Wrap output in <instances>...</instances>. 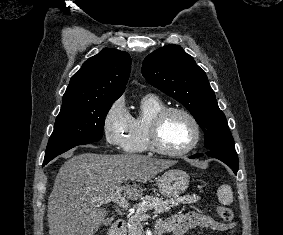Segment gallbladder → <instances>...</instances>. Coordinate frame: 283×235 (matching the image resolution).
Wrapping results in <instances>:
<instances>
[{
    "instance_id": "1",
    "label": "gallbladder",
    "mask_w": 283,
    "mask_h": 235,
    "mask_svg": "<svg viewBox=\"0 0 283 235\" xmlns=\"http://www.w3.org/2000/svg\"><path fill=\"white\" fill-rule=\"evenodd\" d=\"M111 224V220L110 219H107L106 221H105V225H110Z\"/></svg>"
}]
</instances>
